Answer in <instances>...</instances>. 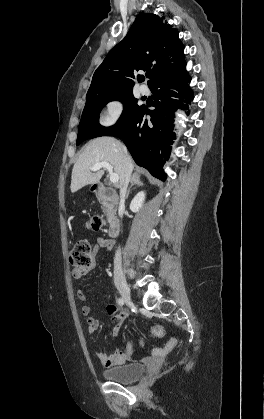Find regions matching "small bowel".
I'll return each mask as SVG.
<instances>
[{"mask_svg":"<svg viewBox=\"0 0 264 419\" xmlns=\"http://www.w3.org/2000/svg\"><path fill=\"white\" fill-rule=\"evenodd\" d=\"M114 247V242L110 239L98 237L95 241V244L92 248L93 255H96L99 251V249H107L111 250ZM93 267V266H92ZM91 268H74L72 271V276L74 279L81 281L85 275L89 273ZM78 297L81 300H86V293L83 289L78 290ZM107 313L111 316L112 320L116 323L114 329H113V336H119L121 333V326L123 322L126 319V314L123 312H118L117 308L113 304H108L106 306ZM91 308L88 305H84L81 308V313L83 316L86 317V322L88 325V332L90 334L95 333L101 326V322L99 319L90 316ZM157 330L159 334L156 336V338H161L163 336V329L160 326H154L151 331ZM176 344L175 339L169 340L163 347L160 348H154L151 351V355L153 357H161L166 355ZM134 352L133 345L131 343H127L125 345V350H116L115 352L111 354H107L104 351H98L97 357L101 364L107 368L122 365L126 361L129 360V358L132 356Z\"/></svg>","mask_w":264,"mask_h":419,"instance_id":"c3829d8e","label":"small bowel"}]
</instances>
